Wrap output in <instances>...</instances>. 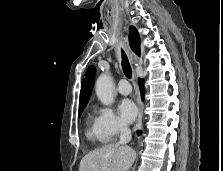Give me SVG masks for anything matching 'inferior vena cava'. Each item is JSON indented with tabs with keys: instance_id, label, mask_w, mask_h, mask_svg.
I'll return each mask as SVG.
<instances>
[{
	"instance_id": "602c4592",
	"label": "inferior vena cava",
	"mask_w": 223,
	"mask_h": 171,
	"mask_svg": "<svg viewBox=\"0 0 223 171\" xmlns=\"http://www.w3.org/2000/svg\"><path fill=\"white\" fill-rule=\"evenodd\" d=\"M132 138L131 130L127 125L122 124L120 126V140L118 142L119 145H126Z\"/></svg>"
}]
</instances>
